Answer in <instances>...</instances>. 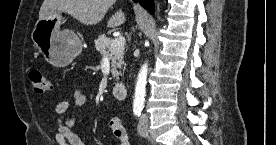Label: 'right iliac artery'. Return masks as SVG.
<instances>
[{
    "instance_id": "1",
    "label": "right iliac artery",
    "mask_w": 276,
    "mask_h": 145,
    "mask_svg": "<svg viewBox=\"0 0 276 145\" xmlns=\"http://www.w3.org/2000/svg\"><path fill=\"white\" fill-rule=\"evenodd\" d=\"M133 112H134V115L136 117H139L141 115L142 108L141 107H134Z\"/></svg>"
}]
</instances>
